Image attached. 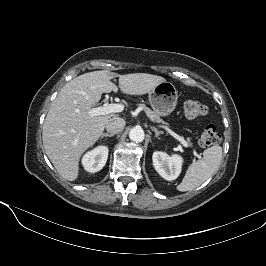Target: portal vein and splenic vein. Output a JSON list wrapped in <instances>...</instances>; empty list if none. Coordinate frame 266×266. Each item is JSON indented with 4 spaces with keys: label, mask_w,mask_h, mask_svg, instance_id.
Wrapping results in <instances>:
<instances>
[{
    "label": "portal vein and splenic vein",
    "mask_w": 266,
    "mask_h": 266,
    "mask_svg": "<svg viewBox=\"0 0 266 266\" xmlns=\"http://www.w3.org/2000/svg\"><path fill=\"white\" fill-rule=\"evenodd\" d=\"M123 110H124L123 104L113 103V104H109V105L99 106L97 108H92V109L88 110V114L91 117H93V116H99V115H107L110 113L122 112ZM162 128H164L170 135H172L175 139H177L184 147H188V143L184 140V138H182L181 136H179L178 134L173 132L167 126H162ZM196 156H197V154H196Z\"/></svg>",
    "instance_id": "portal-vein-and-splenic-vein-1"
}]
</instances>
